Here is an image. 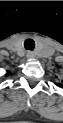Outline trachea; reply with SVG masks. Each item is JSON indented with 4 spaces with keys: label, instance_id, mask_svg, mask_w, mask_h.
I'll list each match as a JSON object with an SVG mask.
<instances>
[{
    "label": "trachea",
    "instance_id": "obj_1",
    "mask_svg": "<svg viewBox=\"0 0 63 123\" xmlns=\"http://www.w3.org/2000/svg\"><path fill=\"white\" fill-rule=\"evenodd\" d=\"M24 47L26 50H30V51H33L34 50V47H35V42L33 39H26L25 42H24Z\"/></svg>",
    "mask_w": 63,
    "mask_h": 123
}]
</instances>
